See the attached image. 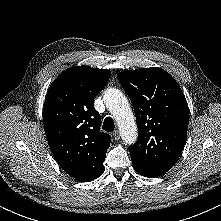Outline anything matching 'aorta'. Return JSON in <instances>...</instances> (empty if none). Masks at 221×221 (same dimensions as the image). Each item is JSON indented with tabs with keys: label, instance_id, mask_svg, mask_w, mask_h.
<instances>
[{
	"label": "aorta",
	"instance_id": "obj_1",
	"mask_svg": "<svg viewBox=\"0 0 221 221\" xmlns=\"http://www.w3.org/2000/svg\"><path fill=\"white\" fill-rule=\"evenodd\" d=\"M104 102L117 122L122 139L127 144L135 143L137 126L125 95L119 89L109 88L104 93Z\"/></svg>",
	"mask_w": 221,
	"mask_h": 221
}]
</instances>
